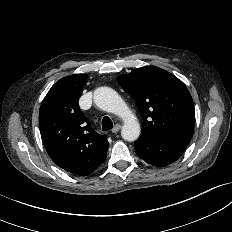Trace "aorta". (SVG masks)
<instances>
[{
    "mask_svg": "<svg viewBox=\"0 0 232 232\" xmlns=\"http://www.w3.org/2000/svg\"><path fill=\"white\" fill-rule=\"evenodd\" d=\"M94 102L102 110L116 114L123 119L121 136L124 140L132 142L140 135V124L119 96L110 87H99L94 91Z\"/></svg>",
    "mask_w": 232,
    "mask_h": 232,
    "instance_id": "aorta-1",
    "label": "aorta"
}]
</instances>
